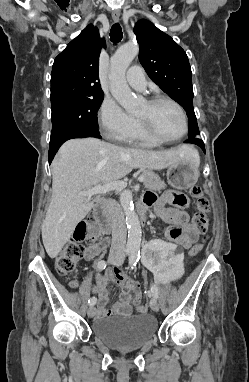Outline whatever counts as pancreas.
Listing matches in <instances>:
<instances>
[{
	"instance_id": "cf45deb5",
	"label": "pancreas",
	"mask_w": 249,
	"mask_h": 382,
	"mask_svg": "<svg viewBox=\"0 0 249 382\" xmlns=\"http://www.w3.org/2000/svg\"><path fill=\"white\" fill-rule=\"evenodd\" d=\"M140 176H143L145 178L143 184L147 189L159 191L166 188V184L164 183V181H162L160 177L157 174H155L152 170L142 171Z\"/></svg>"
}]
</instances>
